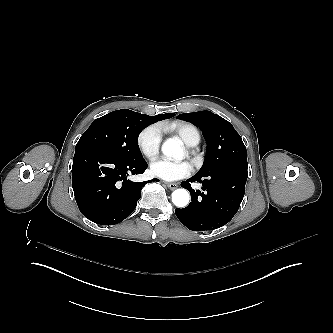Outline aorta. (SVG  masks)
I'll return each mask as SVG.
<instances>
[{"label":"aorta","instance_id":"762f6f07","mask_svg":"<svg viewBox=\"0 0 333 333\" xmlns=\"http://www.w3.org/2000/svg\"><path fill=\"white\" fill-rule=\"evenodd\" d=\"M161 152L172 158H179L183 154L181 141L176 138H169L163 142ZM172 202L177 207H185L189 202V192L186 189H176L172 192Z\"/></svg>","mask_w":333,"mask_h":333}]
</instances>
